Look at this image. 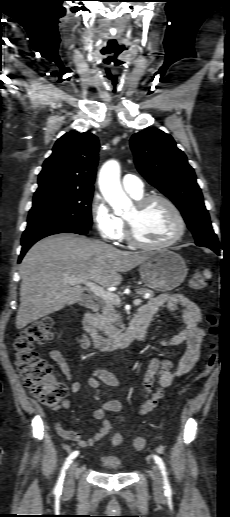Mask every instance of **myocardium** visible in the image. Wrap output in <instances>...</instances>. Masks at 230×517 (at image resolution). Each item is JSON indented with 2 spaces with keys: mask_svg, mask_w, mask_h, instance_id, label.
<instances>
[{
  "mask_svg": "<svg viewBox=\"0 0 230 517\" xmlns=\"http://www.w3.org/2000/svg\"><path fill=\"white\" fill-rule=\"evenodd\" d=\"M154 201H161L165 205L168 206V208L172 211L174 214L177 223H178V229L175 235H173L169 240L161 242V243H147L142 241L136 234L135 228L133 223L125 218V237L129 244H131L134 247L140 248V249H146V250H153V249H163L170 247L181 240V238L184 236L186 232V221L185 218L180 211V209L177 207V205L168 197L161 195V194H151L142 196L141 198L137 199L135 202V207L137 210H142L146 206H148L150 203Z\"/></svg>",
  "mask_w": 230,
  "mask_h": 517,
  "instance_id": "obj_1",
  "label": "myocardium"
}]
</instances>
